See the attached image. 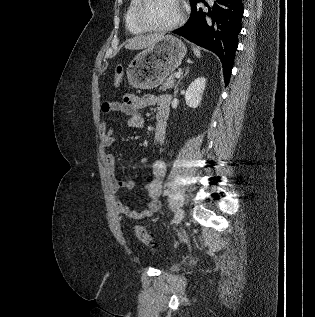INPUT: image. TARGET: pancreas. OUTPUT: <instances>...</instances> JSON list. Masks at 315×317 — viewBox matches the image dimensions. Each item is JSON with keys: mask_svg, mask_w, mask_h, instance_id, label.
<instances>
[{"mask_svg": "<svg viewBox=\"0 0 315 317\" xmlns=\"http://www.w3.org/2000/svg\"><path fill=\"white\" fill-rule=\"evenodd\" d=\"M174 74H171L162 84L160 90L167 91L168 89H172L175 86Z\"/></svg>", "mask_w": 315, "mask_h": 317, "instance_id": "obj_1", "label": "pancreas"}]
</instances>
